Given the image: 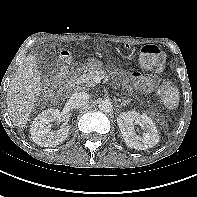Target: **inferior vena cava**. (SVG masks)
I'll return each instance as SVG.
<instances>
[{
    "mask_svg": "<svg viewBox=\"0 0 197 197\" xmlns=\"http://www.w3.org/2000/svg\"><path fill=\"white\" fill-rule=\"evenodd\" d=\"M89 95L85 92H75L69 98V105L73 109H78L86 105Z\"/></svg>",
    "mask_w": 197,
    "mask_h": 197,
    "instance_id": "1",
    "label": "inferior vena cava"
}]
</instances>
